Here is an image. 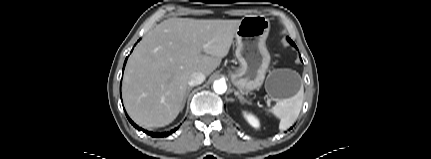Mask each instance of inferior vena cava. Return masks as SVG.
Instances as JSON below:
<instances>
[{"label":"inferior vena cava","mask_w":431,"mask_h":159,"mask_svg":"<svg viewBox=\"0 0 431 159\" xmlns=\"http://www.w3.org/2000/svg\"><path fill=\"white\" fill-rule=\"evenodd\" d=\"M205 80V75L202 72H193L188 80L189 86H196L203 83Z\"/></svg>","instance_id":"obj_1"}]
</instances>
